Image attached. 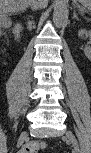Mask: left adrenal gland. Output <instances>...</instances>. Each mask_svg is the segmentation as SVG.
Wrapping results in <instances>:
<instances>
[{
	"instance_id": "1",
	"label": "left adrenal gland",
	"mask_w": 91,
	"mask_h": 153,
	"mask_svg": "<svg viewBox=\"0 0 91 153\" xmlns=\"http://www.w3.org/2000/svg\"><path fill=\"white\" fill-rule=\"evenodd\" d=\"M73 19L79 20L75 10L73 12Z\"/></svg>"
}]
</instances>
